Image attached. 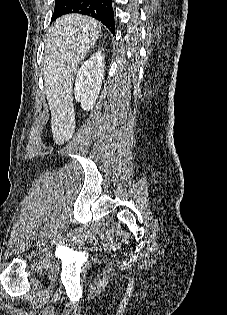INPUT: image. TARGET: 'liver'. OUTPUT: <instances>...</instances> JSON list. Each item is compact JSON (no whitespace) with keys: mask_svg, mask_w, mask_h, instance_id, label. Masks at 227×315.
I'll use <instances>...</instances> for the list:
<instances>
[{"mask_svg":"<svg viewBox=\"0 0 227 315\" xmlns=\"http://www.w3.org/2000/svg\"><path fill=\"white\" fill-rule=\"evenodd\" d=\"M101 26L92 17L69 14L58 18L47 35L42 74L56 144L73 136V82L80 64L99 38Z\"/></svg>","mask_w":227,"mask_h":315,"instance_id":"6515ba94","label":"liver"}]
</instances>
